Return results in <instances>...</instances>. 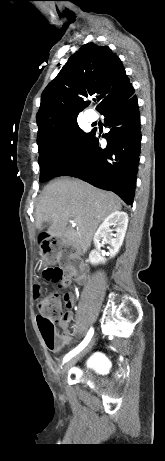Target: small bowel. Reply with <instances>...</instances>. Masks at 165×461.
<instances>
[{"label": "small bowel", "instance_id": "small-bowel-1", "mask_svg": "<svg viewBox=\"0 0 165 461\" xmlns=\"http://www.w3.org/2000/svg\"><path fill=\"white\" fill-rule=\"evenodd\" d=\"M81 256H62V260H58V267L61 268L62 277L64 280H71L77 278L78 281H82V271L89 270V263H81ZM65 284V282H64ZM63 300L64 309H73L75 306V299L72 291H62L61 293ZM73 321V313L67 311L62 314V318L59 319L57 324L62 328V334L58 336V342L55 346L54 351H60L65 346L69 345L72 341V334L69 329V324Z\"/></svg>", "mask_w": 165, "mask_h": 461}]
</instances>
